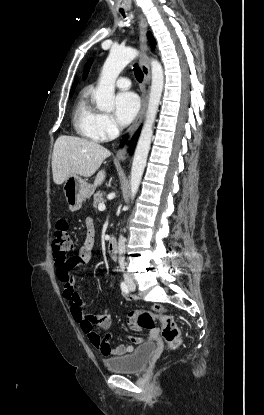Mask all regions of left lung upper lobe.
I'll use <instances>...</instances> for the list:
<instances>
[{"instance_id": "5c2ea615", "label": "left lung upper lobe", "mask_w": 264, "mask_h": 415, "mask_svg": "<svg viewBox=\"0 0 264 415\" xmlns=\"http://www.w3.org/2000/svg\"><path fill=\"white\" fill-rule=\"evenodd\" d=\"M148 37H149V40H150L151 42H153V41H154V40H153V37H152V35H151L150 33H148ZM91 64H92V59H90V60L87 62V64L85 65L84 77H86V76H87V74H88V71H89V69H90Z\"/></svg>"}]
</instances>
